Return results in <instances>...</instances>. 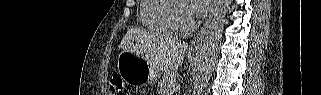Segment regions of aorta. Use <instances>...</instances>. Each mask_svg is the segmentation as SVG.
Instances as JSON below:
<instances>
[{
	"label": "aorta",
	"mask_w": 321,
	"mask_h": 95,
	"mask_svg": "<svg viewBox=\"0 0 321 95\" xmlns=\"http://www.w3.org/2000/svg\"><path fill=\"white\" fill-rule=\"evenodd\" d=\"M230 2V0H218L216 3L214 18L205 33V38L198 56L194 76L193 95H202L210 79L219 50V43L222 38Z\"/></svg>",
	"instance_id": "1"
}]
</instances>
